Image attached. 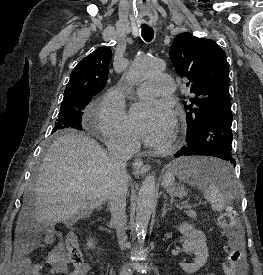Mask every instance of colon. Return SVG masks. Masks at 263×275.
<instances>
[{"instance_id":"obj_1","label":"colon","mask_w":263,"mask_h":275,"mask_svg":"<svg viewBox=\"0 0 263 275\" xmlns=\"http://www.w3.org/2000/svg\"><path fill=\"white\" fill-rule=\"evenodd\" d=\"M218 224L223 229L228 239L224 246L227 254L226 262L223 267L225 274L245 275L246 266L243 255L241 229L234 211L226 210L222 212L218 217ZM65 248L67 258L72 267H83L85 265L75 235H68L65 241Z\"/></svg>"}]
</instances>
